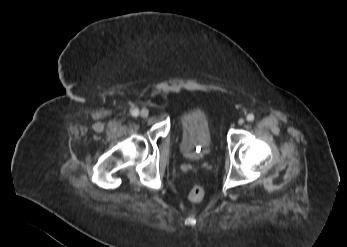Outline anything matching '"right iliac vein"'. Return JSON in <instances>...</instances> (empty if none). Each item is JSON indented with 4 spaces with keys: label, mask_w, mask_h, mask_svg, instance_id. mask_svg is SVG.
I'll use <instances>...</instances> for the list:
<instances>
[{
    "label": "right iliac vein",
    "mask_w": 347,
    "mask_h": 247,
    "mask_svg": "<svg viewBox=\"0 0 347 247\" xmlns=\"http://www.w3.org/2000/svg\"><path fill=\"white\" fill-rule=\"evenodd\" d=\"M149 114V111L147 109H142L140 111V116L143 117V118H146Z\"/></svg>",
    "instance_id": "obj_1"
}]
</instances>
